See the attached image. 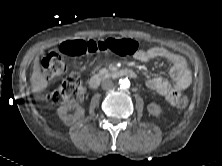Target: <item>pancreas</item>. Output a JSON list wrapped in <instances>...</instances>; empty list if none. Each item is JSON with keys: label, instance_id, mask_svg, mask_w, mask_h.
<instances>
[{"label": "pancreas", "instance_id": "pancreas-1", "mask_svg": "<svg viewBox=\"0 0 222 166\" xmlns=\"http://www.w3.org/2000/svg\"><path fill=\"white\" fill-rule=\"evenodd\" d=\"M99 75L103 76V77H107L110 75L109 70L103 68L102 70L99 71Z\"/></svg>", "mask_w": 222, "mask_h": 166}]
</instances>
